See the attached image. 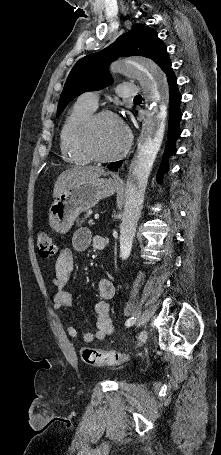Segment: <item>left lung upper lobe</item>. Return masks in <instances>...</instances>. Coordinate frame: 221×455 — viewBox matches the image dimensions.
I'll use <instances>...</instances> for the list:
<instances>
[{
  "instance_id": "1",
  "label": "left lung upper lobe",
  "mask_w": 221,
  "mask_h": 455,
  "mask_svg": "<svg viewBox=\"0 0 221 455\" xmlns=\"http://www.w3.org/2000/svg\"><path fill=\"white\" fill-rule=\"evenodd\" d=\"M120 56H144L155 61L163 71L170 65L166 46L150 27L136 25L100 52L80 59L72 68L60 96L57 117L75 97L86 91L100 90L112 83L108 66Z\"/></svg>"
}]
</instances>
